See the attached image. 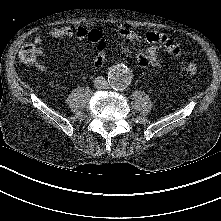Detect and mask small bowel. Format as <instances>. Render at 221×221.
Instances as JSON below:
<instances>
[{
	"instance_id": "small-bowel-1",
	"label": "small bowel",
	"mask_w": 221,
	"mask_h": 221,
	"mask_svg": "<svg viewBox=\"0 0 221 221\" xmlns=\"http://www.w3.org/2000/svg\"><path fill=\"white\" fill-rule=\"evenodd\" d=\"M116 34L124 40L139 41L144 39L149 44L148 48L144 52L136 51L122 45L117 47L119 51L133 58L141 68L160 67L161 61L158 55L160 49H163L169 55H177L180 52L179 45L164 33L149 31L142 36L136 31L120 28L116 31ZM49 37L51 39L76 38L78 40L90 41L97 46L98 50L96 56L93 59V67H102L105 60V50L98 49V45L101 42H105V40L101 31L96 29H86L82 26L72 27L66 25L53 28L49 32ZM43 41L44 39L41 36H36L34 38V44L37 46H40ZM38 53H41L39 49ZM36 67L38 70L43 72L47 70V67L40 62L36 63Z\"/></svg>"
}]
</instances>
